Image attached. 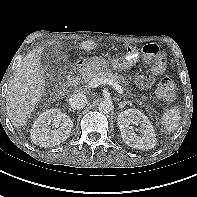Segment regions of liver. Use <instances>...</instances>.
<instances>
[{
	"instance_id": "obj_1",
	"label": "liver",
	"mask_w": 197,
	"mask_h": 197,
	"mask_svg": "<svg viewBox=\"0 0 197 197\" xmlns=\"http://www.w3.org/2000/svg\"><path fill=\"white\" fill-rule=\"evenodd\" d=\"M48 44L53 45L54 42L50 41ZM95 47L96 43L92 40L79 44V48L85 51H90ZM41 53L42 47L39 46L27 54L8 85L6 110L12 125L16 128L26 124L35 105L45 92V75L41 65Z\"/></svg>"
}]
</instances>
